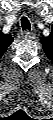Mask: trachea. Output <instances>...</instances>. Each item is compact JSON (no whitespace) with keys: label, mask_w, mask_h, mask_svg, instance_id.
<instances>
[{"label":"trachea","mask_w":53,"mask_h":120,"mask_svg":"<svg viewBox=\"0 0 53 120\" xmlns=\"http://www.w3.org/2000/svg\"><path fill=\"white\" fill-rule=\"evenodd\" d=\"M21 27H22L23 31L24 30H31V24L26 17L21 18Z\"/></svg>","instance_id":"3493384b"}]
</instances>
